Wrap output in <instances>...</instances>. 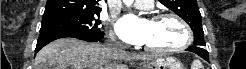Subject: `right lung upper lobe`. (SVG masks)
Returning <instances> with one entry per match:
<instances>
[{
    "label": "right lung upper lobe",
    "instance_id": "obj_1",
    "mask_svg": "<svg viewBox=\"0 0 246 69\" xmlns=\"http://www.w3.org/2000/svg\"><path fill=\"white\" fill-rule=\"evenodd\" d=\"M100 0H47L43 17L59 14H99Z\"/></svg>",
    "mask_w": 246,
    "mask_h": 69
}]
</instances>
